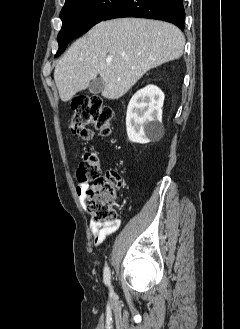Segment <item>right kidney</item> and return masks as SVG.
<instances>
[{"instance_id":"right-kidney-1","label":"right kidney","mask_w":240,"mask_h":329,"mask_svg":"<svg viewBox=\"0 0 240 329\" xmlns=\"http://www.w3.org/2000/svg\"><path fill=\"white\" fill-rule=\"evenodd\" d=\"M163 102L164 93L154 85H148L133 95L126 115V130L131 142L147 144L163 135Z\"/></svg>"}]
</instances>
